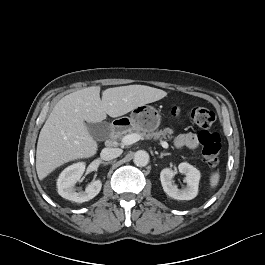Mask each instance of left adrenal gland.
Returning a JSON list of instances; mask_svg holds the SVG:
<instances>
[{"mask_svg": "<svg viewBox=\"0 0 265 265\" xmlns=\"http://www.w3.org/2000/svg\"><path fill=\"white\" fill-rule=\"evenodd\" d=\"M167 155H170V153H161L159 157L163 158V156H167Z\"/></svg>", "mask_w": 265, "mask_h": 265, "instance_id": "a2214340", "label": "left adrenal gland"}]
</instances>
